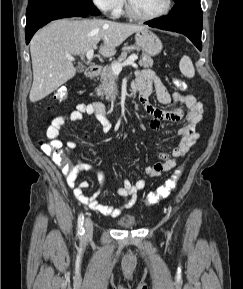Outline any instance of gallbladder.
<instances>
[{"label":"gallbladder","instance_id":"gallbladder-1","mask_svg":"<svg viewBox=\"0 0 243 289\" xmlns=\"http://www.w3.org/2000/svg\"><path fill=\"white\" fill-rule=\"evenodd\" d=\"M77 71L78 72H83L84 71V67L83 66H77Z\"/></svg>","mask_w":243,"mask_h":289}]
</instances>
